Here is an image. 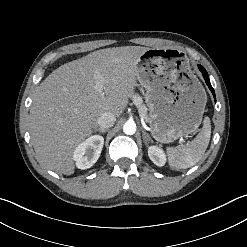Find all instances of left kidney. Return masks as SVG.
Masks as SVG:
<instances>
[{"label": "left kidney", "instance_id": "1", "mask_svg": "<svg viewBox=\"0 0 247 247\" xmlns=\"http://www.w3.org/2000/svg\"><path fill=\"white\" fill-rule=\"evenodd\" d=\"M148 156L151 161L157 166H164L166 163V156L163 150L156 146H150L148 148Z\"/></svg>", "mask_w": 247, "mask_h": 247}]
</instances>
